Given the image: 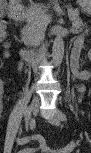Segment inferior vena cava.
Segmentation results:
<instances>
[{
	"label": "inferior vena cava",
	"instance_id": "1",
	"mask_svg": "<svg viewBox=\"0 0 91 153\" xmlns=\"http://www.w3.org/2000/svg\"><path fill=\"white\" fill-rule=\"evenodd\" d=\"M39 50H35V53H45L46 47L44 44H38ZM38 49V48H37ZM44 54H32V63L34 68H38V63H48L47 57ZM41 65V64H39Z\"/></svg>",
	"mask_w": 91,
	"mask_h": 153
}]
</instances>
